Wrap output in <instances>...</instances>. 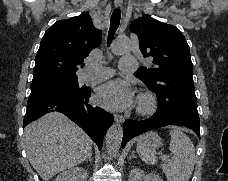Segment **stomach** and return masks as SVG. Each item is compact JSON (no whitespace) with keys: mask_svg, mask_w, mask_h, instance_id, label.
Instances as JSON below:
<instances>
[{"mask_svg":"<svg viewBox=\"0 0 228 181\" xmlns=\"http://www.w3.org/2000/svg\"><path fill=\"white\" fill-rule=\"evenodd\" d=\"M138 141H141V143H144L145 147H148V149H158L161 143L160 137H158L157 133H146V135H142Z\"/></svg>","mask_w":228,"mask_h":181,"instance_id":"1","label":"stomach"}]
</instances>
